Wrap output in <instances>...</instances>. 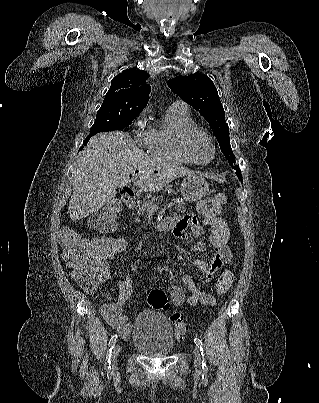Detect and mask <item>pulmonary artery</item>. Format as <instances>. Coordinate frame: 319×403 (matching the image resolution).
Masks as SVG:
<instances>
[{"instance_id": "e3ab8cb5", "label": "pulmonary artery", "mask_w": 319, "mask_h": 403, "mask_svg": "<svg viewBox=\"0 0 319 403\" xmlns=\"http://www.w3.org/2000/svg\"><path fill=\"white\" fill-rule=\"evenodd\" d=\"M173 104H178V105H181L183 107H187L186 104L184 102H182V101H176Z\"/></svg>"}]
</instances>
